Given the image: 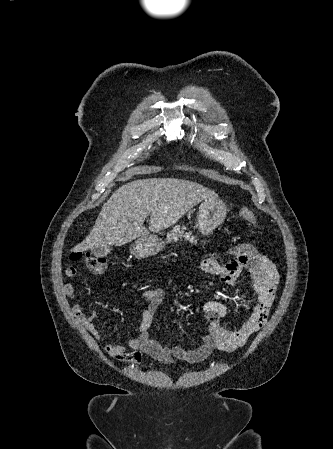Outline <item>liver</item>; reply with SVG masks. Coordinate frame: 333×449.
<instances>
[{
    "label": "liver",
    "instance_id": "liver-1",
    "mask_svg": "<svg viewBox=\"0 0 333 449\" xmlns=\"http://www.w3.org/2000/svg\"><path fill=\"white\" fill-rule=\"evenodd\" d=\"M218 195L201 184L175 178L142 179L119 187L103 205L89 235L73 251L121 246L175 224L194 206Z\"/></svg>",
    "mask_w": 333,
    "mask_h": 449
}]
</instances>
